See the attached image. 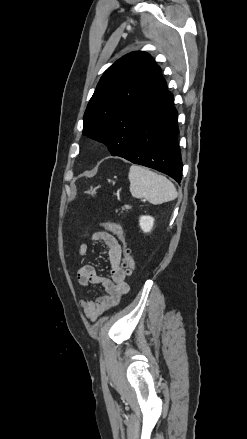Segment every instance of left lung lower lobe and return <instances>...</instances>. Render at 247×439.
<instances>
[{"instance_id":"1","label":"left lung lower lobe","mask_w":247,"mask_h":439,"mask_svg":"<svg viewBox=\"0 0 247 439\" xmlns=\"http://www.w3.org/2000/svg\"><path fill=\"white\" fill-rule=\"evenodd\" d=\"M171 95L139 128L129 150L122 156L163 172L177 182L182 177V162L177 136V111Z\"/></svg>"}]
</instances>
